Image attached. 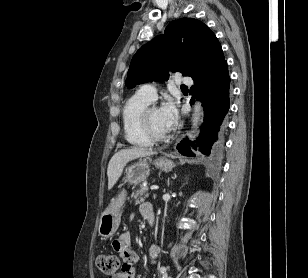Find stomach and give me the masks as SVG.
Instances as JSON below:
<instances>
[{
  "mask_svg": "<svg viewBox=\"0 0 308 278\" xmlns=\"http://www.w3.org/2000/svg\"><path fill=\"white\" fill-rule=\"evenodd\" d=\"M149 162L150 158L145 157L129 165L125 170L124 183L137 185L146 180L150 174ZM153 164L162 171H170L175 166L172 160L164 157L154 160ZM126 199L127 193L123 189L116 198L111 200L110 205L101 214L98 233L102 238H109L117 231Z\"/></svg>",
  "mask_w": 308,
  "mask_h": 278,
  "instance_id": "0dacf381",
  "label": "stomach"
}]
</instances>
